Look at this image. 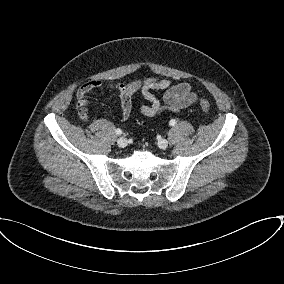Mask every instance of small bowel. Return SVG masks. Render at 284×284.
I'll return each instance as SVG.
<instances>
[{
	"mask_svg": "<svg viewBox=\"0 0 284 284\" xmlns=\"http://www.w3.org/2000/svg\"><path fill=\"white\" fill-rule=\"evenodd\" d=\"M98 89L118 94L121 102V122L127 121L130 117L133 97L137 92H141L148 101V104L139 108L140 114L145 117H154L167 111L178 113L197 100V94L187 82L173 85L169 79L156 77L134 80L127 84L90 80L83 83L76 92V109L81 120L86 121L89 117L88 94ZM155 91H163L162 100L156 96Z\"/></svg>",
	"mask_w": 284,
	"mask_h": 284,
	"instance_id": "c3829d8e",
	"label": "small bowel"
}]
</instances>
